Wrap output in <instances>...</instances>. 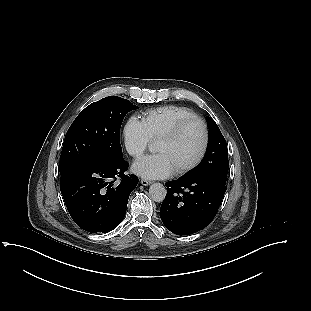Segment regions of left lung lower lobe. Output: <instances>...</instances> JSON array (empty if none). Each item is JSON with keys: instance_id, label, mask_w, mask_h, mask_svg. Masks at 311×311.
<instances>
[{"instance_id": "obj_1", "label": "left lung lower lobe", "mask_w": 311, "mask_h": 311, "mask_svg": "<svg viewBox=\"0 0 311 311\" xmlns=\"http://www.w3.org/2000/svg\"><path fill=\"white\" fill-rule=\"evenodd\" d=\"M166 186L160 218L177 235H190L208 226L226 191L225 183L212 177H181Z\"/></svg>"}]
</instances>
